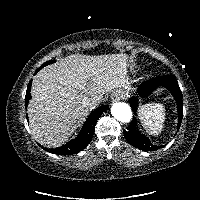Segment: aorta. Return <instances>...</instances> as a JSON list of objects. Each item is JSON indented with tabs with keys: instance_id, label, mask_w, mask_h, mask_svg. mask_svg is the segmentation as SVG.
<instances>
[{
	"instance_id": "1",
	"label": "aorta",
	"mask_w": 200,
	"mask_h": 200,
	"mask_svg": "<svg viewBox=\"0 0 200 200\" xmlns=\"http://www.w3.org/2000/svg\"><path fill=\"white\" fill-rule=\"evenodd\" d=\"M111 113L120 122H129L132 119V111L128 104L116 102L111 107Z\"/></svg>"
}]
</instances>
